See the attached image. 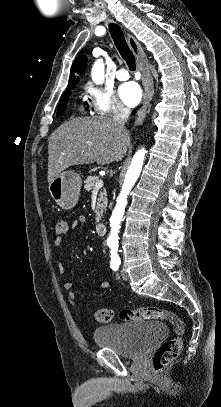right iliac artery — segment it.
<instances>
[{
	"label": "right iliac artery",
	"mask_w": 221,
	"mask_h": 407,
	"mask_svg": "<svg viewBox=\"0 0 221 407\" xmlns=\"http://www.w3.org/2000/svg\"><path fill=\"white\" fill-rule=\"evenodd\" d=\"M111 268H112L114 271H117L118 268H119V265H117V264H111Z\"/></svg>",
	"instance_id": "obj_1"
}]
</instances>
